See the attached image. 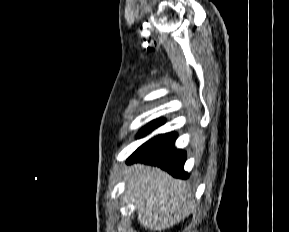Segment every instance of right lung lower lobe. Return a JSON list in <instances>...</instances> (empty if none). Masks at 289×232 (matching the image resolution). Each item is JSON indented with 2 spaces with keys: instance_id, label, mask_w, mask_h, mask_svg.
<instances>
[{
  "instance_id": "1",
  "label": "right lung lower lobe",
  "mask_w": 289,
  "mask_h": 232,
  "mask_svg": "<svg viewBox=\"0 0 289 232\" xmlns=\"http://www.w3.org/2000/svg\"><path fill=\"white\" fill-rule=\"evenodd\" d=\"M176 138V133L172 132L150 139L129 157L127 163L143 162L159 166L174 177L188 178L189 175L184 171L186 154L175 148Z\"/></svg>"
}]
</instances>
